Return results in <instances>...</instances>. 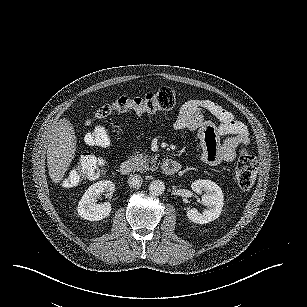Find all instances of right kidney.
I'll return each mask as SVG.
<instances>
[{
  "mask_svg": "<svg viewBox=\"0 0 307 307\" xmlns=\"http://www.w3.org/2000/svg\"><path fill=\"white\" fill-rule=\"evenodd\" d=\"M115 191V184L110 180H102L88 187L78 203V215L89 221H99L110 215L112 210L109 202L97 204V198L104 192L110 196Z\"/></svg>",
  "mask_w": 307,
  "mask_h": 307,
  "instance_id": "ca27d5eb",
  "label": "right kidney"
}]
</instances>
